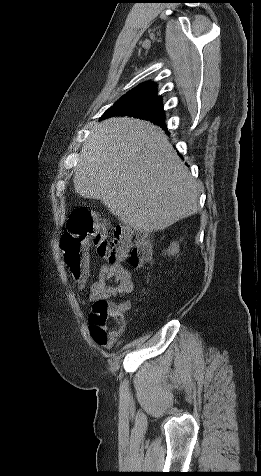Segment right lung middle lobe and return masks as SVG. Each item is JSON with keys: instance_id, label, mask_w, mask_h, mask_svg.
<instances>
[{"instance_id": "right-lung-middle-lobe-1", "label": "right lung middle lobe", "mask_w": 261, "mask_h": 476, "mask_svg": "<svg viewBox=\"0 0 261 476\" xmlns=\"http://www.w3.org/2000/svg\"><path fill=\"white\" fill-rule=\"evenodd\" d=\"M130 115L151 120L157 124H163L165 116L161 102L140 101V102H116L109 108L102 118L110 116Z\"/></svg>"}]
</instances>
